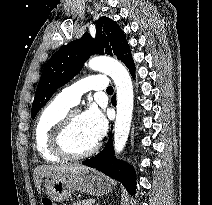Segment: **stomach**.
I'll return each mask as SVG.
<instances>
[{
    "instance_id": "0dacf381",
    "label": "stomach",
    "mask_w": 212,
    "mask_h": 205,
    "mask_svg": "<svg viewBox=\"0 0 212 205\" xmlns=\"http://www.w3.org/2000/svg\"><path fill=\"white\" fill-rule=\"evenodd\" d=\"M43 186L45 193L55 202L68 200L75 191L98 197L108 194L112 190L111 181L96 172L46 176Z\"/></svg>"
}]
</instances>
